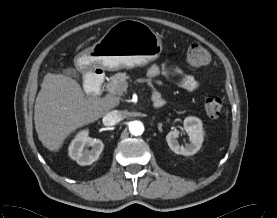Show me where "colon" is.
Segmentation results:
<instances>
[{"instance_id":"1","label":"colon","mask_w":277,"mask_h":218,"mask_svg":"<svg viewBox=\"0 0 277 218\" xmlns=\"http://www.w3.org/2000/svg\"><path fill=\"white\" fill-rule=\"evenodd\" d=\"M209 61L207 50L199 44H192L187 51V62L192 67H200ZM206 113L211 118H217L224 107V100L216 95H205L203 99Z\"/></svg>"}]
</instances>
